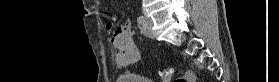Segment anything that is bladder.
Listing matches in <instances>:
<instances>
[{
  "instance_id": "1",
  "label": "bladder",
  "mask_w": 279,
  "mask_h": 82,
  "mask_svg": "<svg viewBox=\"0 0 279 82\" xmlns=\"http://www.w3.org/2000/svg\"><path fill=\"white\" fill-rule=\"evenodd\" d=\"M117 82H152V81L144 76L126 72L118 76Z\"/></svg>"
}]
</instances>
